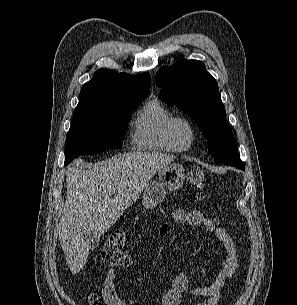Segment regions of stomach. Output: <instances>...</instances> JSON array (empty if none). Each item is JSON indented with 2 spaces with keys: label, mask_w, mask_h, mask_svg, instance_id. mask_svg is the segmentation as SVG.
Returning a JSON list of instances; mask_svg holds the SVG:
<instances>
[{
  "label": "stomach",
  "mask_w": 297,
  "mask_h": 305,
  "mask_svg": "<svg viewBox=\"0 0 297 305\" xmlns=\"http://www.w3.org/2000/svg\"><path fill=\"white\" fill-rule=\"evenodd\" d=\"M185 179L183 166L170 163L158 170V180L150 181L144 190L142 202L146 209H152L163 201L166 190L175 191L181 188Z\"/></svg>",
  "instance_id": "1"
}]
</instances>
